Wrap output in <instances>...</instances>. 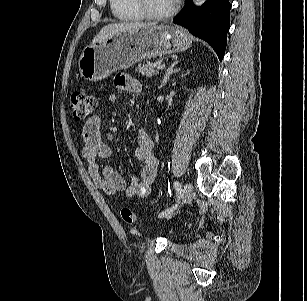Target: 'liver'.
Wrapping results in <instances>:
<instances>
[{
    "label": "liver",
    "instance_id": "liver-1",
    "mask_svg": "<svg viewBox=\"0 0 307 301\" xmlns=\"http://www.w3.org/2000/svg\"><path fill=\"white\" fill-rule=\"evenodd\" d=\"M155 25H156L155 23H143V22H131V23L122 22V23L108 24L100 30L98 35L93 39V43L104 41L111 35L120 31H134L146 27H152Z\"/></svg>",
    "mask_w": 307,
    "mask_h": 301
}]
</instances>
